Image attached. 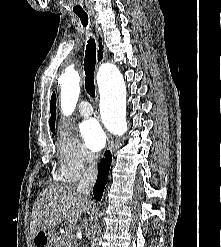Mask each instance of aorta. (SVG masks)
I'll list each match as a JSON object with an SVG mask.
<instances>
[{
  "label": "aorta",
  "mask_w": 221,
  "mask_h": 247,
  "mask_svg": "<svg viewBox=\"0 0 221 247\" xmlns=\"http://www.w3.org/2000/svg\"><path fill=\"white\" fill-rule=\"evenodd\" d=\"M61 109L65 115H71L77 105L80 94V76L78 71H66L60 77ZM101 113L105 126L116 135L127 130L126 122V86L119 69L111 64H103L99 71Z\"/></svg>",
  "instance_id": "obj_1"
}]
</instances>
